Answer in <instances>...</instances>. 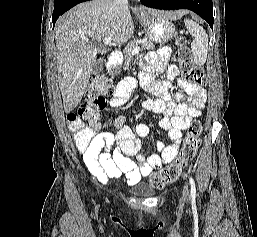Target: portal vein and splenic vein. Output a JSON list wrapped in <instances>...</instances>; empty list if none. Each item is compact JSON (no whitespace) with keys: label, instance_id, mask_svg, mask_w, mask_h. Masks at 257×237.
<instances>
[{"label":"portal vein and splenic vein","instance_id":"1","mask_svg":"<svg viewBox=\"0 0 257 237\" xmlns=\"http://www.w3.org/2000/svg\"><path fill=\"white\" fill-rule=\"evenodd\" d=\"M103 43H104L105 45H111V44H112V39H111V38H104V39H103ZM139 51H140V47L137 46L136 48H134V49L132 50L131 54H132V55L138 54Z\"/></svg>","mask_w":257,"mask_h":237}]
</instances>
